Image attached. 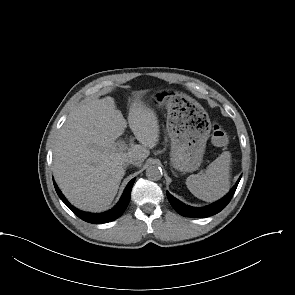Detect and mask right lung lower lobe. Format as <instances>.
Returning a JSON list of instances; mask_svg holds the SVG:
<instances>
[{"mask_svg":"<svg viewBox=\"0 0 295 295\" xmlns=\"http://www.w3.org/2000/svg\"><path fill=\"white\" fill-rule=\"evenodd\" d=\"M135 181V178L132 179L128 185L126 186L124 193L121 197V199L119 200V202L117 203V205L104 213L101 214H92V213H86V212H82L79 211L78 209L74 208L68 201L67 199L63 196V194L60 192L59 188L57 187L56 183L54 182V187L55 190L58 194V196L60 197V199L71 209V211L76 214L79 218H81L82 220L89 222V223H107L110 221H113L115 219H117L118 217H120L123 212L125 211L129 201H130V197H131V189L133 186V183Z\"/></svg>","mask_w":295,"mask_h":295,"instance_id":"1","label":"right lung lower lobe"}]
</instances>
